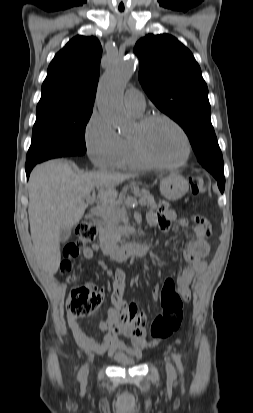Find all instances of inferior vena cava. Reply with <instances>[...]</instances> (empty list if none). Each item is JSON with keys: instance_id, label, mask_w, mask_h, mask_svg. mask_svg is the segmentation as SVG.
Instances as JSON below:
<instances>
[{"instance_id": "602c4592", "label": "inferior vena cava", "mask_w": 253, "mask_h": 413, "mask_svg": "<svg viewBox=\"0 0 253 413\" xmlns=\"http://www.w3.org/2000/svg\"><path fill=\"white\" fill-rule=\"evenodd\" d=\"M108 236L110 237V239L112 240V242H117L119 240L118 236L112 231L109 230L108 231Z\"/></svg>"}]
</instances>
